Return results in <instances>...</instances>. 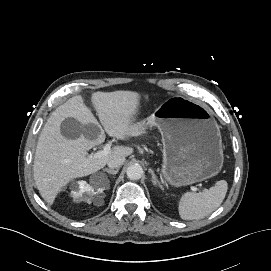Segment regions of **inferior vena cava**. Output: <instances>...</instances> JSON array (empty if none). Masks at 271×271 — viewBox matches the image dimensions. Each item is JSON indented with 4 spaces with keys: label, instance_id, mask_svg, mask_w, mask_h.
<instances>
[{
    "label": "inferior vena cava",
    "instance_id": "inferior-vena-cava-1",
    "mask_svg": "<svg viewBox=\"0 0 271 271\" xmlns=\"http://www.w3.org/2000/svg\"><path fill=\"white\" fill-rule=\"evenodd\" d=\"M125 161L124 157H115L108 161V167L111 169H117L119 168Z\"/></svg>",
    "mask_w": 271,
    "mask_h": 271
}]
</instances>
